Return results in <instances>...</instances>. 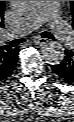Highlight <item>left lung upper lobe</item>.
I'll return each instance as SVG.
<instances>
[{
	"label": "left lung upper lobe",
	"instance_id": "left-lung-upper-lobe-1",
	"mask_svg": "<svg viewBox=\"0 0 74 122\" xmlns=\"http://www.w3.org/2000/svg\"><path fill=\"white\" fill-rule=\"evenodd\" d=\"M71 3V10H72V27L74 28V1H70Z\"/></svg>",
	"mask_w": 74,
	"mask_h": 122
}]
</instances>
